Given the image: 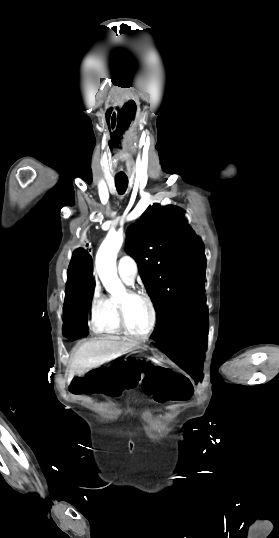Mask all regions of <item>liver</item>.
Instances as JSON below:
<instances>
[{
  "mask_svg": "<svg viewBox=\"0 0 279 538\" xmlns=\"http://www.w3.org/2000/svg\"><path fill=\"white\" fill-rule=\"evenodd\" d=\"M134 346L137 344H131L129 340H119L116 336L94 338L91 342H86L80 346L72 360L68 380H72L75 374L83 376L92 368H98L117 356L128 354Z\"/></svg>",
  "mask_w": 279,
  "mask_h": 538,
  "instance_id": "obj_1",
  "label": "liver"
}]
</instances>
